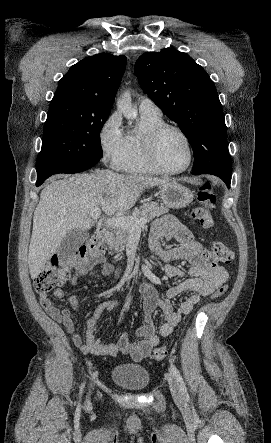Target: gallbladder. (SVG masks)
Returning a JSON list of instances; mask_svg holds the SVG:
<instances>
[{"label":"gallbladder","mask_w":271,"mask_h":443,"mask_svg":"<svg viewBox=\"0 0 271 443\" xmlns=\"http://www.w3.org/2000/svg\"><path fill=\"white\" fill-rule=\"evenodd\" d=\"M90 237L89 233L85 231H78V229H70L69 233L63 237L57 253H59L60 260L63 261L64 269H77L80 254L77 251L78 247Z\"/></svg>","instance_id":"obj_1"}]
</instances>
